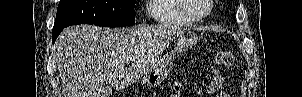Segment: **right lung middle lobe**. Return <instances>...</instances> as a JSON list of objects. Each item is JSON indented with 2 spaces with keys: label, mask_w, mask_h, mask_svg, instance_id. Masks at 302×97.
<instances>
[{
  "label": "right lung middle lobe",
  "mask_w": 302,
  "mask_h": 97,
  "mask_svg": "<svg viewBox=\"0 0 302 97\" xmlns=\"http://www.w3.org/2000/svg\"><path fill=\"white\" fill-rule=\"evenodd\" d=\"M136 0H60L53 30L69 25L126 27L135 24Z\"/></svg>",
  "instance_id": "1"
}]
</instances>
